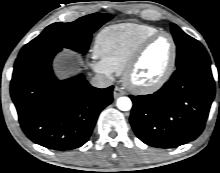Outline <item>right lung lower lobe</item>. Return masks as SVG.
Wrapping results in <instances>:
<instances>
[{
  "label": "right lung lower lobe",
  "mask_w": 220,
  "mask_h": 173,
  "mask_svg": "<svg viewBox=\"0 0 220 173\" xmlns=\"http://www.w3.org/2000/svg\"><path fill=\"white\" fill-rule=\"evenodd\" d=\"M60 50L52 47L18 56L11 97L26 136L48 149L64 151L88 141L100 112L113 100V86L92 87L82 75L56 80L51 62Z\"/></svg>",
  "instance_id": "right-lung-lower-lobe-1"
}]
</instances>
